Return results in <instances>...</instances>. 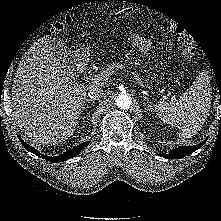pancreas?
<instances>
[{"label":"pancreas","instance_id":"cf45deb5","mask_svg":"<svg viewBox=\"0 0 221 221\" xmlns=\"http://www.w3.org/2000/svg\"><path fill=\"white\" fill-rule=\"evenodd\" d=\"M114 67H115V64H114V63L108 64L106 70H113ZM148 80H150V81H154V80H155V81H158V80L156 79V77H154V76H153V77H152V76H151V77H150V76H147L146 79H145V81H148Z\"/></svg>","mask_w":221,"mask_h":221}]
</instances>
